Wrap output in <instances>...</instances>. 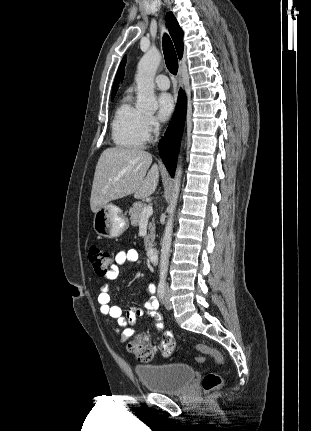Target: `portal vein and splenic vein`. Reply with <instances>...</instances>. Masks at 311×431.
<instances>
[{
  "mask_svg": "<svg viewBox=\"0 0 311 431\" xmlns=\"http://www.w3.org/2000/svg\"><path fill=\"white\" fill-rule=\"evenodd\" d=\"M153 214V208L152 206H146V208H143L142 210V217H149Z\"/></svg>",
  "mask_w": 311,
  "mask_h": 431,
  "instance_id": "obj_1",
  "label": "portal vein and splenic vein"
}]
</instances>
